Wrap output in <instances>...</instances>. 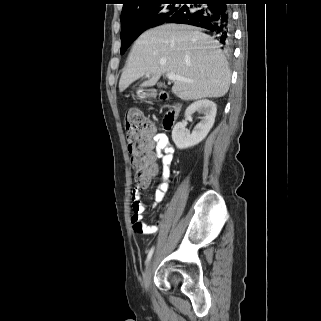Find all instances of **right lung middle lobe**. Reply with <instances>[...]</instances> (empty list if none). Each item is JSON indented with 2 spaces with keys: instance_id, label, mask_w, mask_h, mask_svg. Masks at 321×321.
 <instances>
[{
  "instance_id": "obj_1",
  "label": "right lung middle lobe",
  "mask_w": 321,
  "mask_h": 321,
  "mask_svg": "<svg viewBox=\"0 0 321 321\" xmlns=\"http://www.w3.org/2000/svg\"><path fill=\"white\" fill-rule=\"evenodd\" d=\"M185 0H158L136 13L121 18V54L145 30L161 25L178 9Z\"/></svg>"
}]
</instances>
